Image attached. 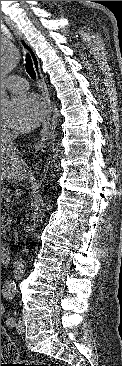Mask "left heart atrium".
I'll return each instance as SVG.
<instances>
[{"mask_svg": "<svg viewBox=\"0 0 122 366\" xmlns=\"http://www.w3.org/2000/svg\"><path fill=\"white\" fill-rule=\"evenodd\" d=\"M44 112V103L37 95L25 93L14 96L10 100L7 124L15 130H30L40 123Z\"/></svg>", "mask_w": 122, "mask_h": 366, "instance_id": "1", "label": "left heart atrium"}]
</instances>
